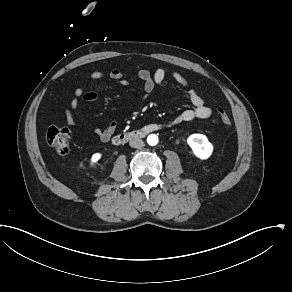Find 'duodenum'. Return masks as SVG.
I'll return each instance as SVG.
<instances>
[{"mask_svg":"<svg viewBox=\"0 0 292 292\" xmlns=\"http://www.w3.org/2000/svg\"><path fill=\"white\" fill-rule=\"evenodd\" d=\"M163 129H165V127L161 123L151 124L144 127L143 129H134V130L118 133L113 137L112 141L115 144H122L130 139L140 138L147 133H151V132H155V131L163 130Z\"/></svg>","mask_w":292,"mask_h":292,"instance_id":"obj_1","label":"duodenum"}]
</instances>
